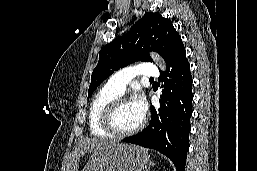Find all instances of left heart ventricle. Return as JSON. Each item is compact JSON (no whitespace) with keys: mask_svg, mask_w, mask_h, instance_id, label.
Listing matches in <instances>:
<instances>
[{"mask_svg":"<svg viewBox=\"0 0 257 171\" xmlns=\"http://www.w3.org/2000/svg\"><path fill=\"white\" fill-rule=\"evenodd\" d=\"M141 120L142 117L134 109L131 102L120 105L114 115V125L121 131L134 128Z\"/></svg>","mask_w":257,"mask_h":171,"instance_id":"left-heart-ventricle-1","label":"left heart ventricle"}]
</instances>
